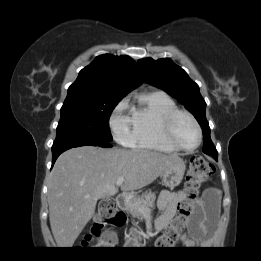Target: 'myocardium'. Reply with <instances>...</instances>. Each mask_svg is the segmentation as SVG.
Instances as JSON below:
<instances>
[{"label":"myocardium","mask_w":261,"mask_h":261,"mask_svg":"<svg viewBox=\"0 0 261 261\" xmlns=\"http://www.w3.org/2000/svg\"><path fill=\"white\" fill-rule=\"evenodd\" d=\"M181 116L188 117L193 122V124L196 127L197 132H198V142L195 146H193L191 148L182 146L177 141L176 136H175V125H176L177 120ZM163 132H164V136H165L167 142L171 146H173L177 150L185 151V152L195 151L200 146L202 139H203V132H202V129H201V126H200L198 120L189 111L181 110V109L174 110L165 117V119L163 121Z\"/></svg>","instance_id":"f54148a6"}]
</instances>
